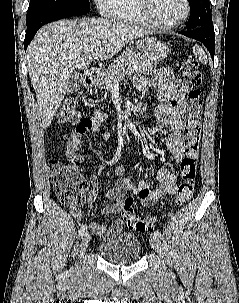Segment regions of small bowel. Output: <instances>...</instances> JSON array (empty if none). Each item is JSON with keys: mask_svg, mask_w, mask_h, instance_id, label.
<instances>
[{"mask_svg": "<svg viewBox=\"0 0 239 303\" xmlns=\"http://www.w3.org/2000/svg\"><path fill=\"white\" fill-rule=\"evenodd\" d=\"M135 85L144 94L149 90L156 92L161 102L155 111L156 118L160 124L172 127L171 133L164 140V145L176 161H181L184 153L183 101L188 90L187 85L174 78L169 68L159 69L150 77L138 76L135 79ZM106 117L107 115L104 112L98 111L83 118L67 140L66 156L76 159L79 163L83 162L84 154L80 153V149L82 137L87 133H94L103 140H109L110 134L101 130V123ZM126 170V165L114 167L113 172L118 177L116 185L105 193V198L114 202L105 205L100 210L101 215L109 216L119 213L123 205L122 197L125 193L135 194L144 206H151L165 195H173L177 192L176 175L166 168L156 170L158 184L155 187H151L143 180L135 186L128 177L124 176ZM90 186L88 206L93 212L99 193V180L94 174L90 178ZM71 213L74 217L83 221L80 209L72 206ZM122 227L123 221L120 218L115 219L108 225L98 222L89 223V228L107 241L116 237L121 232Z\"/></svg>", "mask_w": 239, "mask_h": 303, "instance_id": "obj_1", "label": "small bowel"}]
</instances>
